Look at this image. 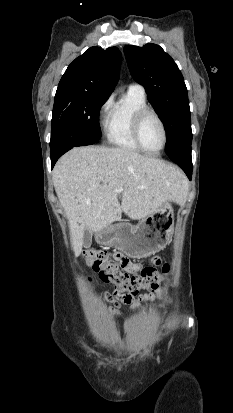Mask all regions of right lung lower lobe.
I'll return each instance as SVG.
<instances>
[{"instance_id": "obj_1", "label": "right lung lower lobe", "mask_w": 233, "mask_h": 413, "mask_svg": "<svg viewBox=\"0 0 233 413\" xmlns=\"http://www.w3.org/2000/svg\"><path fill=\"white\" fill-rule=\"evenodd\" d=\"M94 143V141L89 140H61L54 145H50L51 168H53L59 157H61L65 152L72 149L73 147L91 145Z\"/></svg>"}]
</instances>
